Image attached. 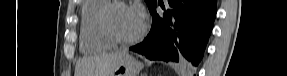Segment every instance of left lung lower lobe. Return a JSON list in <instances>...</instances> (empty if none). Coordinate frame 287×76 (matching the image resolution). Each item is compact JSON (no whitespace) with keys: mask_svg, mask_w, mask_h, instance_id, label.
Segmentation results:
<instances>
[{"mask_svg":"<svg viewBox=\"0 0 287 76\" xmlns=\"http://www.w3.org/2000/svg\"><path fill=\"white\" fill-rule=\"evenodd\" d=\"M171 9L163 16L150 12L152 27L144 41L129 50L150 60L197 67L204 55L216 16V0H168Z\"/></svg>","mask_w":287,"mask_h":76,"instance_id":"0a47b994","label":"left lung lower lobe"}]
</instances>
